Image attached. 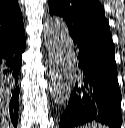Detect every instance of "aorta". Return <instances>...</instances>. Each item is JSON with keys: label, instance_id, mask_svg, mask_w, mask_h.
<instances>
[{"label": "aorta", "instance_id": "1", "mask_svg": "<svg viewBox=\"0 0 125 128\" xmlns=\"http://www.w3.org/2000/svg\"><path fill=\"white\" fill-rule=\"evenodd\" d=\"M45 45L50 61V88L55 103L63 105L69 99L76 75L72 39L65 22L48 17L43 27Z\"/></svg>", "mask_w": 125, "mask_h": 128}]
</instances>
